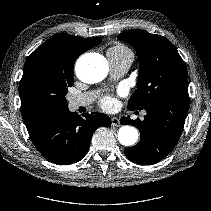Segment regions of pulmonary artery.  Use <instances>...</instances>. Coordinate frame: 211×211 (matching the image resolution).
I'll list each match as a JSON object with an SVG mask.
<instances>
[{
	"label": "pulmonary artery",
	"instance_id": "obj_1",
	"mask_svg": "<svg viewBox=\"0 0 211 211\" xmlns=\"http://www.w3.org/2000/svg\"><path fill=\"white\" fill-rule=\"evenodd\" d=\"M107 58L110 64L111 74L113 77H120L124 75L130 68L133 55H118L112 52H107ZM96 97L95 91L84 92L68 98L69 106L71 109H76L80 106L90 104Z\"/></svg>",
	"mask_w": 211,
	"mask_h": 211
}]
</instances>
